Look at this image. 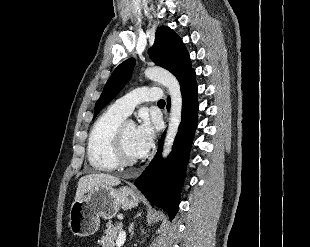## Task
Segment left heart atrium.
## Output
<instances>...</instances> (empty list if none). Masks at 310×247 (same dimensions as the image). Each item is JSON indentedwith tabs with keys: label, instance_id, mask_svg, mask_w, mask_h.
<instances>
[{
	"label": "left heart atrium",
	"instance_id": "obj_1",
	"mask_svg": "<svg viewBox=\"0 0 310 247\" xmlns=\"http://www.w3.org/2000/svg\"><path fill=\"white\" fill-rule=\"evenodd\" d=\"M155 125L148 115H143L136 127L134 150L137 157L145 156L151 149L155 139Z\"/></svg>",
	"mask_w": 310,
	"mask_h": 247
}]
</instances>
